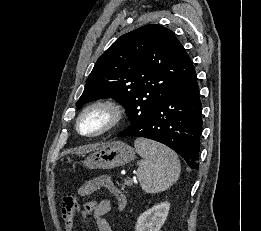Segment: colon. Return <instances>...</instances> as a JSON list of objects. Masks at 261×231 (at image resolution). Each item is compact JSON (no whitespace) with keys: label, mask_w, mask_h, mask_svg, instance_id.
<instances>
[{"label":"colon","mask_w":261,"mask_h":231,"mask_svg":"<svg viewBox=\"0 0 261 231\" xmlns=\"http://www.w3.org/2000/svg\"><path fill=\"white\" fill-rule=\"evenodd\" d=\"M112 187L115 186L112 183ZM116 189V188H115ZM96 190V184L89 181L85 186H83V192L85 194H90L92 191ZM80 202L77 194L67 193L63 199L62 205V215L65 221L70 222L74 219L76 214L80 213Z\"/></svg>","instance_id":"colon-1"}]
</instances>
